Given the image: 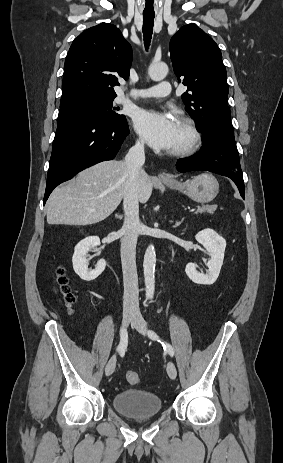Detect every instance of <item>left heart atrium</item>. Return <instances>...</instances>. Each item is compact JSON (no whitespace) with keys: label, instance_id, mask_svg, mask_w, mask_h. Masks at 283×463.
Listing matches in <instances>:
<instances>
[{"label":"left heart atrium","instance_id":"left-heart-atrium-1","mask_svg":"<svg viewBox=\"0 0 283 463\" xmlns=\"http://www.w3.org/2000/svg\"><path fill=\"white\" fill-rule=\"evenodd\" d=\"M135 128L152 148L171 150L175 140L176 121L169 115L141 110L135 116Z\"/></svg>","mask_w":283,"mask_h":463}]
</instances>
